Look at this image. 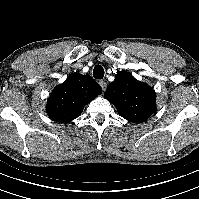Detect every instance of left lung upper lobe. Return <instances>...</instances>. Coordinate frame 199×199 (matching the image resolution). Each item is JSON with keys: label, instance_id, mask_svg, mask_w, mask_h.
<instances>
[{"label": "left lung upper lobe", "instance_id": "1", "mask_svg": "<svg viewBox=\"0 0 199 199\" xmlns=\"http://www.w3.org/2000/svg\"><path fill=\"white\" fill-rule=\"evenodd\" d=\"M104 97L130 122H144L156 111L154 90L125 71L117 73Z\"/></svg>", "mask_w": 199, "mask_h": 199}]
</instances>
